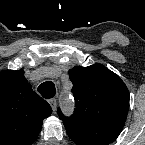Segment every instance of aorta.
<instances>
[{
	"label": "aorta",
	"instance_id": "obj_1",
	"mask_svg": "<svg viewBox=\"0 0 145 145\" xmlns=\"http://www.w3.org/2000/svg\"><path fill=\"white\" fill-rule=\"evenodd\" d=\"M62 105H63L66 113H69L71 111V102H70V100L63 101Z\"/></svg>",
	"mask_w": 145,
	"mask_h": 145
}]
</instances>
